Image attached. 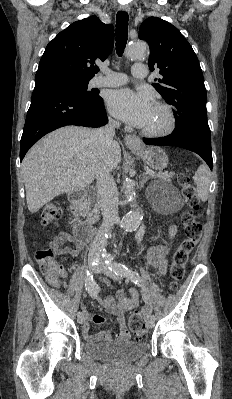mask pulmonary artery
I'll return each mask as SVG.
<instances>
[{"instance_id":"obj_1","label":"pulmonary artery","mask_w":232,"mask_h":399,"mask_svg":"<svg viewBox=\"0 0 232 399\" xmlns=\"http://www.w3.org/2000/svg\"><path fill=\"white\" fill-rule=\"evenodd\" d=\"M133 68L131 71L133 79L143 80L145 74L143 63H134ZM118 84H130V77H125L124 73H112L110 69H101L91 82L93 87H103L104 90H115Z\"/></svg>"}]
</instances>
